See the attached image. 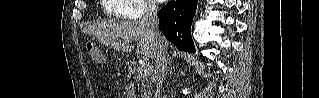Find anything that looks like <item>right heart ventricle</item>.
Masks as SVG:
<instances>
[{"instance_id":"obj_1","label":"right heart ventricle","mask_w":319,"mask_h":98,"mask_svg":"<svg viewBox=\"0 0 319 98\" xmlns=\"http://www.w3.org/2000/svg\"><path fill=\"white\" fill-rule=\"evenodd\" d=\"M104 9L108 16L119 17L128 8V1L126 0H105Z\"/></svg>"}]
</instances>
